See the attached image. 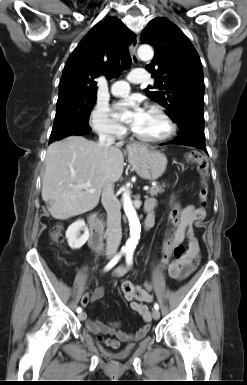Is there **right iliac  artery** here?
<instances>
[{"label":"right iliac artery","mask_w":247,"mask_h":385,"mask_svg":"<svg viewBox=\"0 0 247 385\" xmlns=\"http://www.w3.org/2000/svg\"><path fill=\"white\" fill-rule=\"evenodd\" d=\"M126 251L122 250L120 251L104 268L105 271H108L110 270L111 268H113L117 263L118 261L121 259V257L125 254ZM77 313H81L82 312V308L81 307H78L76 309Z\"/></svg>","instance_id":"82829eb1"}]
</instances>
